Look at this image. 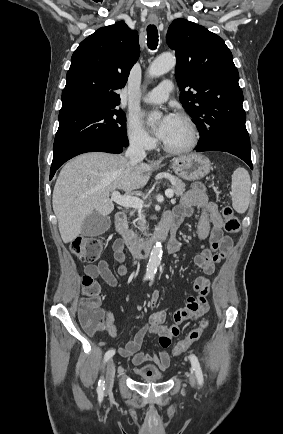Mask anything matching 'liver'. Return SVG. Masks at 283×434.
I'll list each match as a JSON object with an SVG mask.
<instances>
[{
  "label": "liver",
  "mask_w": 283,
  "mask_h": 434,
  "mask_svg": "<svg viewBox=\"0 0 283 434\" xmlns=\"http://www.w3.org/2000/svg\"><path fill=\"white\" fill-rule=\"evenodd\" d=\"M159 168V165H156ZM154 166L132 163L123 155L91 152L69 161L53 190V210L64 243L79 236L84 220L93 212L107 216L114 209L110 193L131 194L143 188Z\"/></svg>",
  "instance_id": "6515ba94"
}]
</instances>
